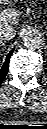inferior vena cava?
I'll use <instances>...</instances> for the list:
<instances>
[{
  "instance_id": "obj_1",
  "label": "inferior vena cava",
  "mask_w": 47,
  "mask_h": 129,
  "mask_svg": "<svg viewBox=\"0 0 47 129\" xmlns=\"http://www.w3.org/2000/svg\"><path fill=\"white\" fill-rule=\"evenodd\" d=\"M16 34V30L14 27L10 25H3L0 27V40L5 41L12 39Z\"/></svg>"
}]
</instances>
